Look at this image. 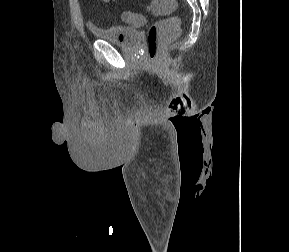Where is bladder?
<instances>
[{
	"instance_id": "31cf9c89",
	"label": "bladder",
	"mask_w": 289,
	"mask_h": 252,
	"mask_svg": "<svg viewBox=\"0 0 289 252\" xmlns=\"http://www.w3.org/2000/svg\"><path fill=\"white\" fill-rule=\"evenodd\" d=\"M90 30L95 37L121 47H133L140 41L138 30L124 26L115 25L107 28L92 26Z\"/></svg>"
}]
</instances>
